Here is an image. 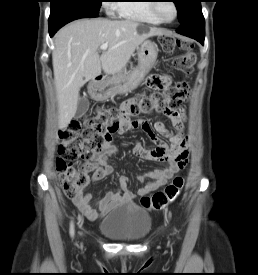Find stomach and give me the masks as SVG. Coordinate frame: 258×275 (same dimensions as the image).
Here are the masks:
<instances>
[{
  "label": "stomach",
  "mask_w": 258,
  "mask_h": 275,
  "mask_svg": "<svg viewBox=\"0 0 258 275\" xmlns=\"http://www.w3.org/2000/svg\"><path fill=\"white\" fill-rule=\"evenodd\" d=\"M157 55V45L150 40H145L138 49L137 67L128 74H118L94 83L90 89L91 96L95 100L102 101L115 94L135 89L154 66Z\"/></svg>",
  "instance_id": "stomach-1"
}]
</instances>
